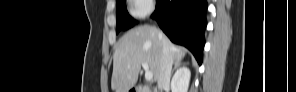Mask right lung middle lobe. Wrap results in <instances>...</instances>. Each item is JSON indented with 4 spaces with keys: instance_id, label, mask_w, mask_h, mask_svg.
<instances>
[{
    "instance_id": "dd1d6c3e",
    "label": "right lung middle lobe",
    "mask_w": 296,
    "mask_h": 92,
    "mask_svg": "<svg viewBox=\"0 0 296 92\" xmlns=\"http://www.w3.org/2000/svg\"><path fill=\"white\" fill-rule=\"evenodd\" d=\"M135 23L127 12L126 0L116 1V33L133 27Z\"/></svg>"
}]
</instances>
